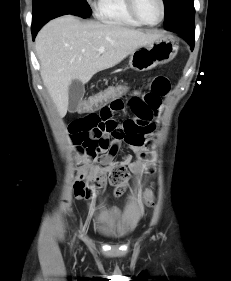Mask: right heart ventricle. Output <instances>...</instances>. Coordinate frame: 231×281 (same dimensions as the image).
<instances>
[{
	"label": "right heart ventricle",
	"mask_w": 231,
	"mask_h": 281,
	"mask_svg": "<svg viewBox=\"0 0 231 281\" xmlns=\"http://www.w3.org/2000/svg\"><path fill=\"white\" fill-rule=\"evenodd\" d=\"M96 15L106 24L128 27H140V24L129 12L126 0H98Z\"/></svg>",
	"instance_id": "right-heart-ventricle-1"
}]
</instances>
